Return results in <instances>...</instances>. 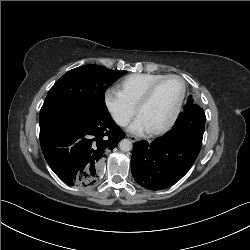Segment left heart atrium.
Returning a JSON list of instances; mask_svg holds the SVG:
<instances>
[{"label": "left heart atrium", "mask_w": 250, "mask_h": 250, "mask_svg": "<svg viewBox=\"0 0 250 250\" xmlns=\"http://www.w3.org/2000/svg\"><path fill=\"white\" fill-rule=\"evenodd\" d=\"M129 130L137 134H143L150 131L145 120L139 115L136 120L130 125Z\"/></svg>", "instance_id": "1"}]
</instances>
